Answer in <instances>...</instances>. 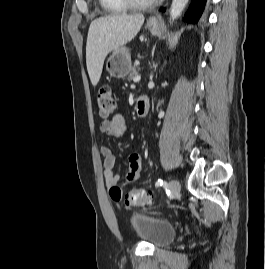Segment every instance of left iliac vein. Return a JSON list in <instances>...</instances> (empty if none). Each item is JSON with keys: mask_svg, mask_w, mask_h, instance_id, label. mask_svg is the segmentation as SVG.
<instances>
[{"mask_svg": "<svg viewBox=\"0 0 265 269\" xmlns=\"http://www.w3.org/2000/svg\"><path fill=\"white\" fill-rule=\"evenodd\" d=\"M169 187H170V190H171L172 194L175 197H178L179 194H180V190H181V186H180L179 181L178 180H175V179H172L169 182Z\"/></svg>", "mask_w": 265, "mask_h": 269, "instance_id": "obj_1", "label": "left iliac vein"}]
</instances>
